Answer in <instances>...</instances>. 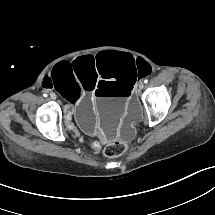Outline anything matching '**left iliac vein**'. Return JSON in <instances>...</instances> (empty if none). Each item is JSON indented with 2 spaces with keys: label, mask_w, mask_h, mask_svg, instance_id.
Here are the masks:
<instances>
[{
  "label": "left iliac vein",
  "mask_w": 215,
  "mask_h": 215,
  "mask_svg": "<svg viewBox=\"0 0 215 215\" xmlns=\"http://www.w3.org/2000/svg\"><path fill=\"white\" fill-rule=\"evenodd\" d=\"M138 87H139L140 90H142L143 87H144V84L142 82H140Z\"/></svg>",
  "instance_id": "left-iliac-vein-1"
}]
</instances>
